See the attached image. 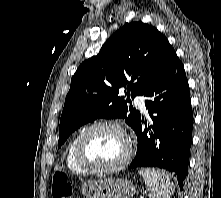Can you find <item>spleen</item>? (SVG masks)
Here are the masks:
<instances>
[{
    "mask_svg": "<svg viewBox=\"0 0 221 198\" xmlns=\"http://www.w3.org/2000/svg\"><path fill=\"white\" fill-rule=\"evenodd\" d=\"M139 174L143 177L149 191V198H170L174 185L168 175L156 169L142 168Z\"/></svg>",
    "mask_w": 221,
    "mask_h": 198,
    "instance_id": "1",
    "label": "spleen"
}]
</instances>
